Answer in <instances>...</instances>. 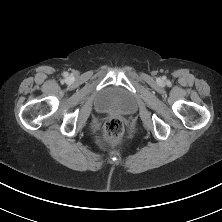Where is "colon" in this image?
<instances>
[{
    "label": "colon",
    "mask_w": 222,
    "mask_h": 222,
    "mask_svg": "<svg viewBox=\"0 0 222 222\" xmlns=\"http://www.w3.org/2000/svg\"><path fill=\"white\" fill-rule=\"evenodd\" d=\"M124 134V124L119 118H111L105 122L104 135L110 142L119 141Z\"/></svg>",
    "instance_id": "colon-1"
}]
</instances>
